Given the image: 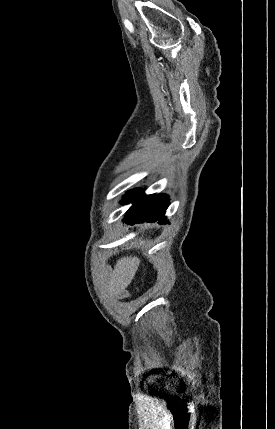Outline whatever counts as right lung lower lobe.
I'll return each mask as SVG.
<instances>
[{
    "mask_svg": "<svg viewBox=\"0 0 275 429\" xmlns=\"http://www.w3.org/2000/svg\"><path fill=\"white\" fill-rule=\"evenodd\" d=\"M132 202V207L126 213L123 222L131 225L143 222L166 223L165 210L169 205L166 195H145L142 189H134L124 196L122 204Z\"/></svg>",
    "mask_w": 275,
    "mask_h": 429,
    "instance_id": "right-lung-lower-lobe-1",
    "label": "right lung lower lobe"
}]
</instances>
